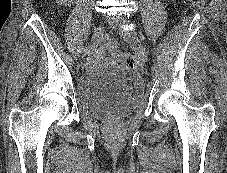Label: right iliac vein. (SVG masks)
<instances>
[{"instance_id":"obj_1","label":"right iliac vein","mask_w":227,"mask_h":173,"mask_svg":"<svg viewBox=\"0 0 227 173\" xmlns=\"http://www.w3.org/2000/svg\"><path fill=\"white\" fill-rule=\"evenodd\" d=\"M102 41H103V27L99 26L98 28L95 29L89 48L87 49L86 53H84V55L85 56L93 55L97 51Z\"/></svg>"}]
</instances>
